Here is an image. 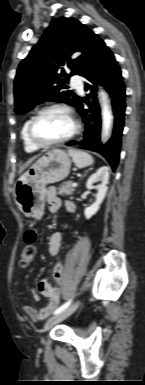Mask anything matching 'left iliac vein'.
<instances>
[{
    "mask_svg": "<svg viewBox=\"0 0 145 385\" xmlns=\"http://www.w3.org/2000/svg\"><path fill=\"white\" fill-rule=\"evenodd\" d=\"M79 305H80V300L76 301L70 307L66 308L62 312H60V313L56 314L55 316L51 317L50 319H48L44 324L43 331L46 332V331L50 330L53 326H55L59 322L65 320L66 318H68L70 315H72L78 309Z\"/></svg>",
    "mask_w": 145,
    "mask_h": 385,
    "instance_id": "left-iliac-vein-1",
    "label": "left iliac vein"
}]
</instances>
